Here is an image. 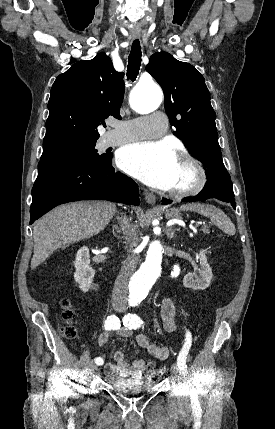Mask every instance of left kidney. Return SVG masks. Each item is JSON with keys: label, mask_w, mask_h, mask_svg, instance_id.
Here are the masks:
<instances>
[{"label": "left kidney", "mask_w": 275, "mask_h": 429, "mask_svg": "<svg viewBox=\"0 0 275 429\" xmlns=\"http://www.w3.org/2000/svg\"><path fill=\"white\" fill-rule=\"evenodd\" d=\"M200 268L197 269L199 275L196 273H188L183 278V285L186 288L193 290H205L209 287L213 277L212 268L208 264L207 257L203 252L199 254Z\"/></svg>", "instance_id": "5707ae66"}]
</instances>
